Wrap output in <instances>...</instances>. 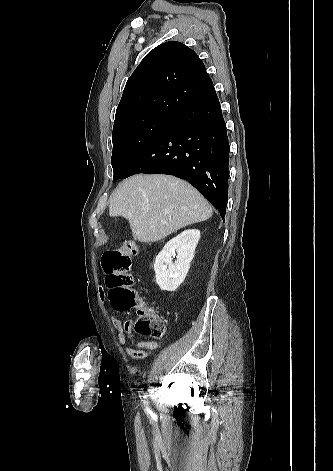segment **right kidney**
Instances as JSON below:
<instances>
[{
  "label": "right kidney",
  "mask_w": 333,
  "mask_h": 471,
  "mask_svg": "<svg viewBox=\"0 0 333 471\" xmlns=\"http://www.w3.org/2000/svg\"><path fill=\"white\" fill-rule=\"evenodd\" d=\"M199 239V230H185L167 242L157 255L154 270L161 290L175 291L184 281ZM172 257H176L174 262Z\"/></svg>",
  "instance_id": "obj_1"
}]
</instances>
